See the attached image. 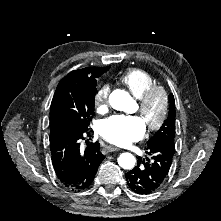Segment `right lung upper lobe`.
Instances as JSON below:
<instances>
[{
  "label": "right lung upper lobe",
  "instance_id": "1",
  "mask_svg": "<svg viewBox=\"0 0 221 221\" xmlns=\"http://www.w3.org/2000/svg\"><path fill=\"white\" fill-rule=\"evenodd\" d=\"M105 67H87L79 70L71 71L67 76H65L61 81L68 80L75 77H88L93 79L97 73H100L104 70ZM53 121V115L50 111V124Z\"/></svg>",
  "mask_w": 221,
  "mask_h": 221
}]
</instances>
